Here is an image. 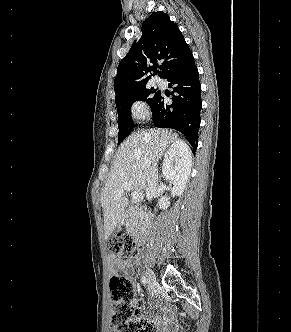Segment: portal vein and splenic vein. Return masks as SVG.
I'll use <instances>...</instances> for the list:
<instances>
[{"instance_id": "1", "label": "portal vein and splenic vein", "mask_w": 291, "mask_h": 332, "mask_svg": "<svg viewBox=\"0 0 291 332\" xmlns=\"http://www.w3.org/2000/svg\"><path fill=\"white\" fill-rule=\"evenodd\" d=\"M121 190H127V191H130V185L125 182L121 185ZM120 195L117 196V198L119 197ZM143 196H142V193L141 192H132L131 193V199H132V202H140L142 200Z\"/></svg>"}]
</instances>
